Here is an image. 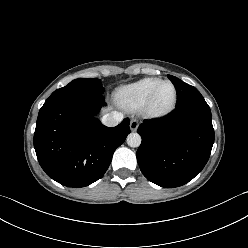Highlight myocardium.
I'll list each match as a JSON object with an SVG mask.
<instances>
[{
  "mask_svg": "<svg viewBox=\"0 0 248 248\" xmlns=\"http://www.w3.org/2000/svg\"><path fill=\"white\" fill-rule=\"evenodd\" d=\"M165 84H169L173 88L174 96H173L172 103L170 104L169 107H167L164 110L155 111L152 109L153 100H154L158 90L161 88V86H163ZM177 100H178V91H177L175 84L173 82H171L170 80H162L147 95L146 99L144 100V102L141 106V112L146 118H149V119L164 118L173 112V110L176 107Z\"/></svg>",
  "mask_w": 248,
  "mask_h": 248,
  "instance_id": "obj_1",
  "label": "myocardium"
}]
</instances>
